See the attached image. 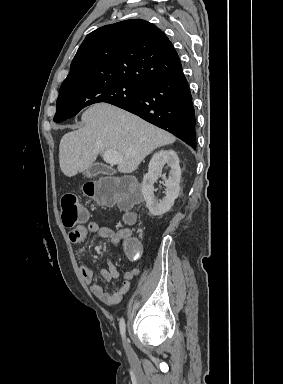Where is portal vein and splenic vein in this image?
Masks as SVG:
<instances>
[{"instance_id": "1", "label": "portal vein and splenic vein", "mask_w": 283, "mask_h": 384, "mask_svg": "<svg viewBox=\"0 0 283 384\" xmlns=\"http://www.w3.org/2000/svg\"><path fill=\"white\" fill-rule=\"evenodd\" d=\"M106 164H121L123 160L122 154L116 152V150H106L103 156Z\"/></svg>"}]
</instances>
